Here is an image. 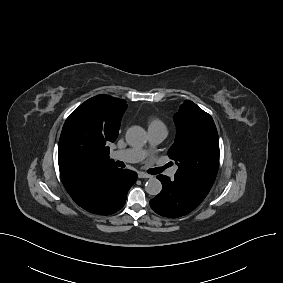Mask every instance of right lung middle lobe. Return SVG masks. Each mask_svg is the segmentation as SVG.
I'll use <instances>...</instances> for the list:
<instances>
[{"instance_id": "1", "label": "right lung middle lobe", "mask_w": 283, "mask_h": 283, "mask_svg": "<svg viewBox=\"0 0 283 283\" xmlns=\"http://www.w3.org/2000/svg\"><path fill=\"white\" fill-rule=\"evenodd\" d=\"M106 144L93 121L79 107L67 118L59 140V146L81 155L108 152Z\"/></svg>"}]
</instances>
